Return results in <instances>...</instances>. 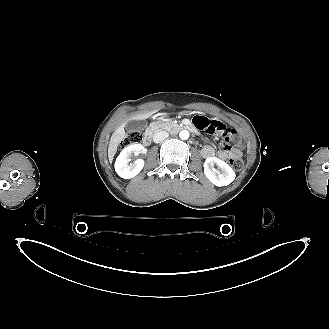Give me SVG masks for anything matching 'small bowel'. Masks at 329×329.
Returning <instances> with one entry per match:
<instances>
[{
	"label": "small bowel",
	"mask_w": 329,
	"mask_h": 329,
	"mask_svg": "<svg viewBox=\"0 0 329 329\" xmlns=\"http://www.w3.org/2000/svg\"><path fill=\"white\" fill-rule=\"evenodd\" d=\"M191 124L193 128L203 132L206 136H217L220 134L222 139H227L232 133V128L228 126L226 121L219 120L217 118L210 120V118L204 115H197L193 117ZM202 154L206 158L217 157L220 160H226L232 157L239 158L242 155L240 150L225 147H223V149L219 152H216L213 145H206L202 150Z\"/></svg>",
	"instance_id": "small-bowel-1"
}]
</instances>
